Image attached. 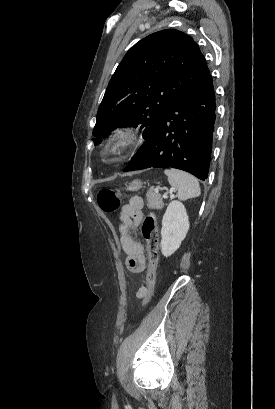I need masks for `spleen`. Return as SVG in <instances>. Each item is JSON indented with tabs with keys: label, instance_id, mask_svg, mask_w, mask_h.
I'll list each match as a JSON object with an SVG mask.
<instances>
[{
	"label": "spleen",
	"instance_id": "3e777b00",
	"mask_svg": "<svg viewBox=\"0 0 275 409\" xmlns=\"http://www.w3.org/2000/svg\"><path fill=\"white\" fill-rule=\"evenodd\" d=\"M164 172L167 174L171 186H176L177 196L181 198V200L193 198V196L200 194L199 182L197 178L189 174V172L177 170V168H170V170L167 168Z\"/></svg>",
	"mask_w": 275,
	"mask_h": 409
}]
</instances>
